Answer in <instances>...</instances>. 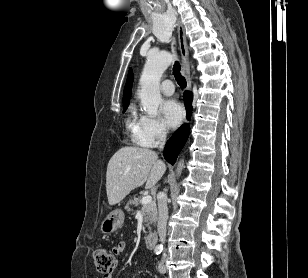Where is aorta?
<instances>
[{"instance_id": "aorta-1", "label": "aorta", "mask_w": 308, "mask_h": 278, "mask_svg": "<svg viewBox=\"0 0 308 278\" xmlns=\"http://www.w3.org/2000/svg\"><path fill=\"white\" fill-rule=\"evenodd\" d=\"M172 61L173 56L166 51L150 53L147 57L140 78L139 97L144 111L151 117L157 115L158 107L162 102L159 90L160 79ZM183 167L184 164L180 161L176 170L178 176L181 174Z\"/></svg>"}]
</instances>
